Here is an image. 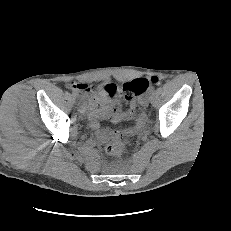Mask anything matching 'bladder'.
I'll return each mask as SVG.
<instances>
[{"label":"bladder","instance_id":"bladder-1","mask_svg":"<svg viewBox=\"0 0 231 231\" xmlns=\"http://www.w3.org/2000/svg\"><path fill=\"white\" fill-rule=\"evenodd\" d=\"M102 95L105 97V99L111 100V95L105 89H102Z\"/></svg>","mask_w":231,"mask_h":231}]
</instances>
